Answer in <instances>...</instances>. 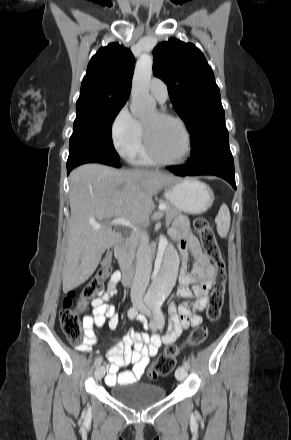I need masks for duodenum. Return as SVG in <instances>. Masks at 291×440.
Returning <instances> with one entry per match:
<instances>
[{
    "instance_id": "obj_1",
    "label": "duodenum",
    "mask_w": 291,
    "mask_h": 440,
    "mask_svg": "<svg viewBox=\"0 0 291 440\" xmlns=\"http://www.w3.org/2000/svg\"><path fill=\"white\" fill-rule=\"evenodd\" d=\"M122 237L120 235H116L115 241L113 244V248L119 247L121 244ZM120 267L122 270V280L125 285H130L134 279V273L132 269L129 267L127 261L123 258L120 259Z\"/></svg>"
}]
</instances>
